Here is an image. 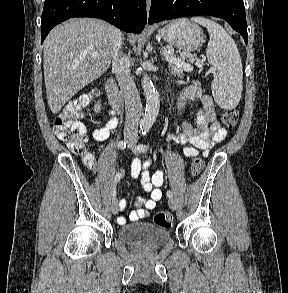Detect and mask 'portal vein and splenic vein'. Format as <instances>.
<instances>
[{
    "label": "portal vein and splenic vein",
    "mask_w": 288,
    "mask_h": 293,
    "mask_svg": "<svg viewBox=\"0 0 288 293\" xmlns=\"http://www.w3.org/2000/svg\"><path fill=\"white\" fill-rule=\"evenodd\" d=\"M96 57H97L96 54L92 55V58H96ZM166 60L169 63L175 64L178 67L183 68L187 72H191L193 70V67L190 64L186 63L185 60H182V59L174 56L172 53H167L166 54ZM197 65H198V67H202L201 63H197ZM211 71L214 72V69H211Z\"/></svg>",
    "instance_id": "obj_1"
}]
</instances>
